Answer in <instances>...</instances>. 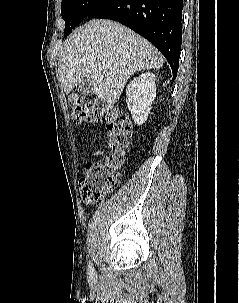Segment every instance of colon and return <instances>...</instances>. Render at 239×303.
Returning <instances> with one entry per match:
<instances>
[{"instance_id":"obj_1","label":"colon","mask_w":239,"mask_h":303,"mask_svg":"<svg viewBox=\"0 0 239 303\" xmlns=\"http://www.w3.org/2000/svg\"><path fill=\"white\" fill-rule=\"evenodd\" d=\"M71 104L75 122L104 123L106 127L111 154L87 162L79 183L83 203L97 205L120 183L132 139L131 123L123 113L98 100L74 94Z\"/></svg>"}]
</instances>
